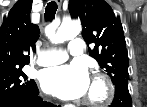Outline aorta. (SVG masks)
<instances>
[{
    "label": "aorta",
    "mask_w": 147,
    "mask_h": 107,
    "mask_svg": "<svg viewBox=\"0 0 147 107\" xmlns=\"http://www.w3.org/2000/svg\"><path fill=\"white\" fill-rule=\"evenodd\" d=\"M81 30L80 22L66 20L61 23L57 32L51 36V41L57 44L73 39L80 34Z\"/></svg>",
    "instance_id": "762f6f07"
}]
</instances>
